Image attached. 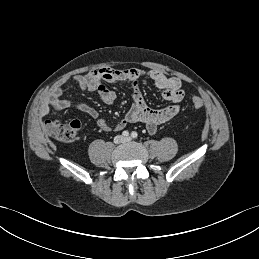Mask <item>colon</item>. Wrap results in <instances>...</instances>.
Masks as SVG:
<instances>
[{"label": "colon", "mask_w": 259, "mask_h": 259, "mask_svg": "<svg viewBox=\"0 0 259 259\" xmlns=\"http://www.w3.org/2000/svg\"><path fill=\"white\" fill-rule=\"evenodd\" d=\"M192 106L199 109L203 106V101L201 98H193ZM81 128L79 121H69V122H49L45 126V132L54 137L55 139L62 142H72L77 138L78 132Z\"/></svg>", "instance_id": "colon-1"}]
</instances>
